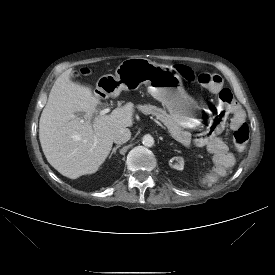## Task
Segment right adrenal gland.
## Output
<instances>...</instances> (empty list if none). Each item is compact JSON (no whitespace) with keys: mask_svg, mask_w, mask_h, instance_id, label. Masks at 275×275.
I'll use <instances>...</instances> for the list:
<instances>
[{"mask_svg":"<svg viewBox=\"0 0 275 275\" xmlns=\"http://www.w3.org/2000/svg\"><path fill=\"white\" fill-rule=\"evenodd\" d=\"M120 146H121V145H116V146L112 149V152H111L109 158H111V156H112L113 154L116 153V150H117L118 148H120Z\"/></svg>","mask_w":275,"mask_h":275,"instance_id":"2a0ac1e0","label":"right adrenal gland"}]
</instances>
